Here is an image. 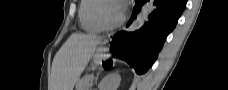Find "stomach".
Segmentation results:
<instances>
[{
  "label": "stomach",
  "instance_id": "0dacf381",
  "mask_svg": "<svg viewBox=\"0 0 228 90\" xmlns=\"http://www.w3.org/2000/svg\"><path fill=\"white\" fill-rule=\"evenodd\" d=\"M103 47L100 48L98 51V54L103 53ZM94 62L95 64H102V57L101 56H94Z\"/></svg>",
  "mask_w": 228,
  "mask_h": 90
}]
</instances>
